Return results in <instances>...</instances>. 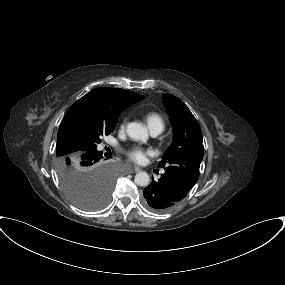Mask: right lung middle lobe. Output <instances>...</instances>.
<instances>
[{"label": "right lung middle lobe", "mask_w": 285, "mask_h": 285, "mask_svg": "<svg viewBox=\"0 0 285 285\" xmlns=\"http://www.w3.org/2000/svg\"><path fill=\"white\" fill-rule=\"evenodd\" d=\"M117 120L111 123L99 120L77 122L57 143L55 166L60 183L68 198L81 209H101L110 199L114 173L102 162L103 170L86 167L82 163V154L96 151L102 136L113 132Z\"/></svg>", "instance_id": "obj_1"}]
</instances>
